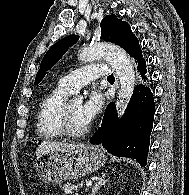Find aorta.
Here are the masks:
<instances>
[{
  "label": "aorta",
  "mask_w": 189,
  "mask_h": 195,
  "mask_svg": "<svg viewBox=\"0 0 189 195\" xmlns=\"http://www.w3.org/2000/svg\"><path fill=\"white\" fill-rule=\"evenodd\" d=\"M79 58L83 62H92L100 58H106L109 61L119 77L120 90L117 109L122 114L132 97L135 82L134 68L127 53L115 45L97 44L83 48L79 53ZM82 100L83 97L79 96L73 101L82 102Z\"/></svg>",
  "instance_id": "obj_1"
}]
</instances>
